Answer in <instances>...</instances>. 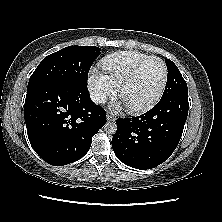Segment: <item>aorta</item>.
<instances>
[{"label":"aorta","mask_w":222,"mask_h":222,"mask_svg":"<svg viewBox=\"0 0 222 222\" xmlns=\"http://www.w3.org/2000/svg\"><path fill=\"white\" fill-rule=\"evenodd\" d=\"M104 130L108 134H115L117 131V124L115 122H107L104 125Z\"/></svg>","instance_id":"aorta-1"}]
</instances>
